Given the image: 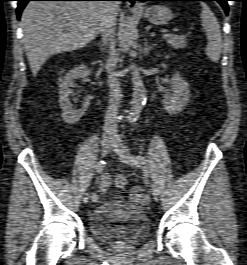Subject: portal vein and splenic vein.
<instances>
[{"label":"portal vein and splenic vein","instance_id":"18ae733b","mask_svg":"<svg viewBox=\"0 0 247 265\" xmlns=\"http://www.w3.org/2000/svg\"><path fill=\"white\" fill-rule=\"evenodd\" d=\"M172 34L171 33H164L161 35V38L162 39H166L167 37L171 36Z\"/></svg>","mask_w":247,"mask_h":265}]
</instances>
